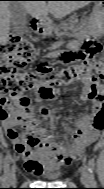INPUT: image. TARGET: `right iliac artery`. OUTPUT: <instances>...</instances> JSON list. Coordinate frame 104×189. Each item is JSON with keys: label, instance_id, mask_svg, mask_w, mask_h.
<instances>
[{"label": "right iliac artery", "instance_id": "82829eb1", "mask_svg": "<svg viewBox=\"0 0 104 189\" xmlns=\"http://www.w3.org/2000/svg\"><path fill=\"white\" fill-rule=\"evenodd\" d=\"M10 162H11V155H7L4 160V166H3V177L2 182L7 183L8 182V173L10 169Z\"/></svg>", "mask_w": 104, "mask_h": 189}]
</instances>
